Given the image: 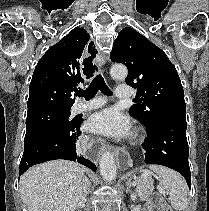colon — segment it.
Listing matches in <instances>:
<instances>
[{
	"label": "colon",
	"instance_id": "5ec220e1",
	"mask_svg": "<svg viewBox=\"0 0 209 211\" xmlns=\"http://www.w3.org/2000/svg\"><path fill=\"white\" fill-rule=\"evenodd\" d=\"M166 211H173V210H172V208L167 207V208H166Z\"/></svg>",
	"mask_w": 209,
	"mask_h": 211
}]
</instances>
